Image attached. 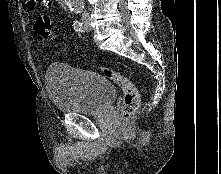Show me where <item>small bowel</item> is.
<instances>
[{
    "label": "small bowel",
    "mask_w": 221,
    "mask_h": 174,
    "mask_svg": "<svg viewBox=\"0 0 221 174\" xmlns=\"http://www.w3.org/2000/svg\"><path fill=\"white\" fill-rule=\"evenodd\" d=\"M26 8L29 11H35L39 5H41L46 10H51L53 8V4L51 0H24Z\"/></svg>",
    "instance_id": "c3829d8e"
}]
</instances>
